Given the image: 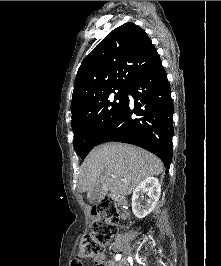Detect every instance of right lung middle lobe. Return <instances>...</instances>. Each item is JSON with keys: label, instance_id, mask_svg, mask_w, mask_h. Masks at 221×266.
<instances>
[{"label": "right lung middle lobe", "instance_id": "obj_1", "mask_svg": "<svg viewBox=\"0 0 221 266\" xmlns=\"http://www.w3.org/2000/svg\"><path fill=\"white\" fill-rule=\"evenodd\" d=\"M117 90V92H115ZM129 88H114L92 97L83 110L72 116L73 146L84 159L128 100Z\"/></svg>", "mask_w": 221, "mask_h": 266}]
</instances>
